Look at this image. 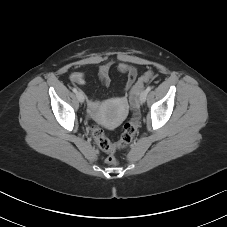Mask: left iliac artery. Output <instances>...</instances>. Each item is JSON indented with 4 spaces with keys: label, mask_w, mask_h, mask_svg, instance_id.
Wrapping results in <instances>:
<instances>
[{
    "label": "left iliac artery",
    "mask_w": 227,
    "mask_h": 227,
    "mask_svg": "<svg viewBox=\"0 0 227 227\" xmlns=\"http://www.w3.org/2000/svg\"><path fill=\"white\" fill-rule=\"evenodd\" d=\"M151 89H152V87H151V86H148V87L146 88V91L149 92V91H151Z\"/></svg>",
    "instance_id": "obj_1"
}]
</instances>
